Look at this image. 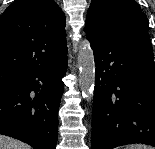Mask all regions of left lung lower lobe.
<instances>
[{"mask_svg":"<svg viewBox=\"0 0 155 149\" xmlns=\"http://www.w3.org/2000/svg\"><path fill=\"white\" fill-rule=\"evenodd\" d=\"M87 39L96 66L92 149L155 146V65L148 31Z\"/></svg>","mask_w":155,"mask_h":149,"instance_id":"left-lung-lower-lobe-1","label":"left lung lower lobe"}]
</instances>
